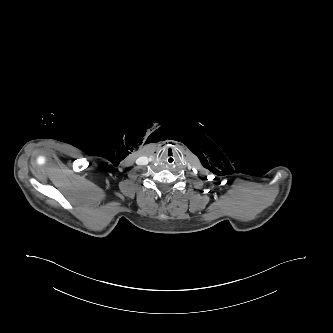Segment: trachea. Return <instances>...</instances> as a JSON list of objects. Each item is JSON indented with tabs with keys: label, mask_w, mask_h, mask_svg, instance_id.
I'll return each mask as SVG.
<instances>
[{
	"label": "trachea",
	"mask_w": 333,
	"mask_h": 333,
	"mask_svg": "<svg viewBox=\"0 0 333 333\" xmlns=\"http://www.w3.org/2000/svg\"><path fill=\"white\" fill-rule=\"evenodd\" d=\"M164 160L168 163V164H173L176 162L177 160V155L173 152V151H168L165 155H164Z\"/></svg>",
	"instance_id": "trachea-1"
}]
</instances>
